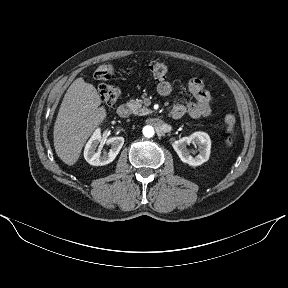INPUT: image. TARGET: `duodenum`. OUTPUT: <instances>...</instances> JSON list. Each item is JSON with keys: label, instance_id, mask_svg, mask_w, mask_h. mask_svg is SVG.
Returning a JSON list of instances; mask_svg holds the SVG:
<instances>
[{"label": "duodenum", "instance_id": "duodenum-1", "mask_svg": "<svg viewBox=\"0 0 288 288\" xmlns=\"http://www.w3.org/2000/svg\"><path fill=\"white\" fill-rule=\"evenodd\" d=\"M117 113L122 118H127L130 115V108L126 104H121L118 109Z\"/></svg>", "mask_w": 288, "mask_h": 288}]
</instances>
